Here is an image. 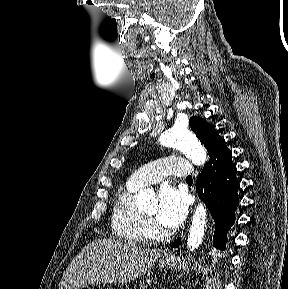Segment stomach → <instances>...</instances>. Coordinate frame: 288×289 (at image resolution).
<instances>
[{"label": "stomach", "instance_id": "obj_1", "mask_svg": "<svg viewBox=\"0 0 288 289\" xmlns=\"http://www.w3.org/2000/svg\"><path fill=\"white\" fill-rule=\"evenodd\" d=\"M171 264L172 262L168 259H161L159 262V266L162 269L169 267ZM81 289H91V288L88 286H85V287H82Z\"/></svg>", "mask_w": 288, "mask_h": 289}]
</instances>
